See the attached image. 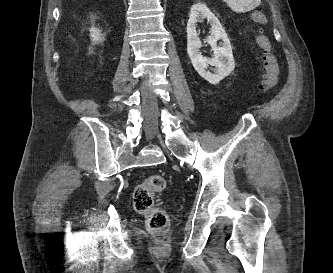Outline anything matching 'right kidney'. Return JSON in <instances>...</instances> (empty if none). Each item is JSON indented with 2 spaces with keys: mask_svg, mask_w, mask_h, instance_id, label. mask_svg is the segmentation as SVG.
Returning a JSON list of instances; mask_svg holds the SVG:
<instances>
[{
  "mask_svg": "<svg viewBox=\"0 0 333 273\" xmlns=\"http://www.w3.org/2000/svg\"><path fill=\"white\" fill-rule=\"evenodd\" d=\"M90 37L93 43H98L104 40V36L101 34V31L95 27L90 29Z\"/></svg>",
  "mask_w": 333,
  "mask_h": 273,
  "instance_id": "right-kidney-1",
  "label": "right kidney"
}]
</instances>
